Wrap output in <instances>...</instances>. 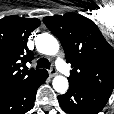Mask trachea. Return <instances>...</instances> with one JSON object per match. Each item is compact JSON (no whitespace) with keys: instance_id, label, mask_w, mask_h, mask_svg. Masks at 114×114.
Returning a JSON list of instances; mask_svg holds the SVG:
<instances>
[{"instance_id":"obj_1","label":"trachea","mask_w":114,"mask_h":114,"mask_svg":"<svg viewBox=\"0 0 114 114\" xmlns=\"http://www.w3.org/2000/svg\"><path fill=\"white\" fill-rule=\"evenodd\" d=\"M36 68H46V69H50V62L45 59V58H40L37 61V65Z\"/></svg>"}]
</instances>
